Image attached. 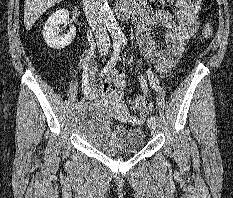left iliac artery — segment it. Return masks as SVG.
<instances>
[{"label":"left iliac artery","instance_id":"left-iliac-artery-1","mask_svg":"<svg viewBox=\"0 0 233 198\" xmlns=\"http://www.w3.org/2000/svg\"><path fill=\"white\" fill-rule=\"evenodd\" d=\"M124 44H126L125 41H124ZM139 80H140L142 89L144 90V92H147L148 87H147V82H146V80L144 79L143 76H140V77H139ZM151 85H152L154 88H158V86H157L153 81L151 82ZM150 119L156 122L155 116L151 115V116H150Z\"/></svg>","mask_w":233,"mask_h":198}]
</instances>
